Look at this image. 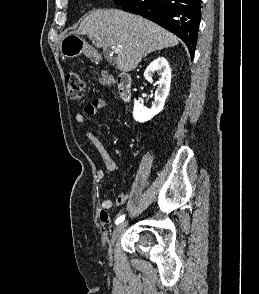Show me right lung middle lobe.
Returning a JSON list of instances; mask_svg holds the SVG:
<instances>
[{
    "instance_id": "dd1d6c3e",
    "label": "right lung middle lobe",
    "mask_w": 259,
    "mask_h": 294,
    "mask_svg": "<svg viewBox=\"0 0 259 294\" xmlns=\"http://www.w3.org/2000/svg\"><path fill=\"white\" fill-rule=\"evenodd\" d=\"M116 2L117 5H121L122 3H124L127 0H114Z\"/></svg>"
}]
</instances>
